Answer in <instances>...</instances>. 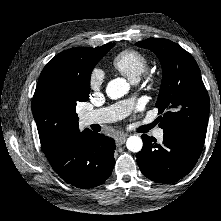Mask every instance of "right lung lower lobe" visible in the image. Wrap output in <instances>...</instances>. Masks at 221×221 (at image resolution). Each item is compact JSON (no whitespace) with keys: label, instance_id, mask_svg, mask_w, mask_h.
I'll list each match as a JSON object with an SVG mask.
<instances>
[{"label":"right lung lower lobe","instance_id":"98d812e1","mask_svg":"<svg viewBox=\"0 0 221 221\" xmlns=\"http://www.w3.org/2000/svg\"><path fill=\"white\" fill-rule=\"evenodd\" d=\"M115 141L85 129L73 130L45 153L55 172L77 188L96 187L111 175L115 164Z\"/></svg>","mask_w":221,"mask_h":221}]
</instances>
